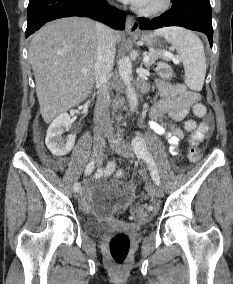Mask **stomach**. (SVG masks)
Here are the masks:
<instances>
[{"label": "stomach", "instance_id": "0dacf381", "mask_svg": "<svg viewBox=\"0 0 233 284\" xmlns=\"http://www.w3.org/2000/svg\"><path fill=\"white\" fill-rule=\"evenodd\" d=\"M135 37L149 47H153L156 50H163L161 45H160L159 36L156 33L144 32V33L137 35Z\"/></svg>", "mask_w": 233, "mask_h": 284}]
</instances>
